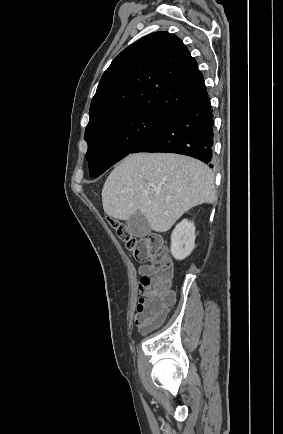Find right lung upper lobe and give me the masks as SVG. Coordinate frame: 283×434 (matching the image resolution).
<instances>
[{
  "mask_svg": "<svg viewBox=\"0 0 283 434\" xmlns=\"http://www.w3.org/2000/svg\"><path fill=\"white\" fill-rule=\"evenodd\" d=\"M208 95L196 60L174 34L155 32L124 49L104 72L90 105V128L126 113L171 118Z\"/></svg>",
  "mask_w": 283,
  "mask_h": 434,
  "instance_id": "obj_1",
  "label": "right lung upper lobe"
}]
</instances>
